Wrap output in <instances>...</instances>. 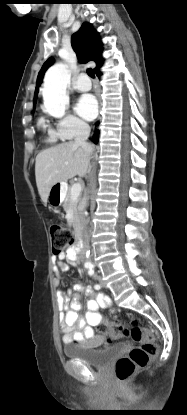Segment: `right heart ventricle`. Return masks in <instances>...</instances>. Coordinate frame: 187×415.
<instances>
[{"instance_id": "1", "label": "right heart ventricle", "mask_w": 187, "mask_h": 415, "mask_svg": "<svg viewBox=\"0 0 187 415\" xmlns=\"http://www.w3.org/2000/svg\"><path fill=\"white\" fill-rule=\"evenodd\" d=\"M37 124L45 134V142L53 144L62 139L59 132L52 128L43 117L38 119Z\"/></svg>"}]
</instances>
